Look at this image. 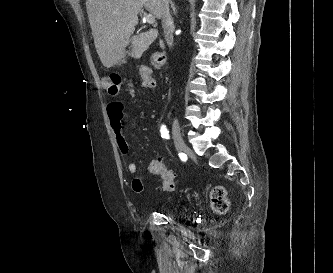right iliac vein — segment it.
<instances>
[{"label":"right iliac vein","mask_w":333,"mask_h":273,"mask_svg":"<svg viewBox=\"0 0 333 273\" xmlns=\"http://www.w3.org/2000/svg\"><path fill=\"white\" fill-rule=\"evenodd\" d=\"M172 135L174 137L176 147L178 151H183L186 149V145L184 143L182 134H181V128L179 125V122L176 118H174L172 123Z\"/></svg>","instance_id":"right-iliac-vein-1"}]
</instances>
